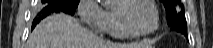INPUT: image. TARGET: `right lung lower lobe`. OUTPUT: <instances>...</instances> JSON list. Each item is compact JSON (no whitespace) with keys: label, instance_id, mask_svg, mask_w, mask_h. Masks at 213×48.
I'll use <instances>...</instances> for the list:
<instances>
[{"label":"right lung lower lobe","instance_id":"98d812e1","mask_svg":"<svg viewBox=\"0 0 213 48\" xmlns=\"http://www.w3.org/2000/svg\"><path fill=\"white\" fill-rule=\"evenodd\" d=\"M53 12H65V11L60 9L59 7L47 5L45 8L42 9L41 15L36 19L35 23L32 26V29L36 26L38 22H40L41 19L45 18L46 16H48L50 13Z\"/></svg>","mask_w":213,"mask_h":48}]
</instances>
